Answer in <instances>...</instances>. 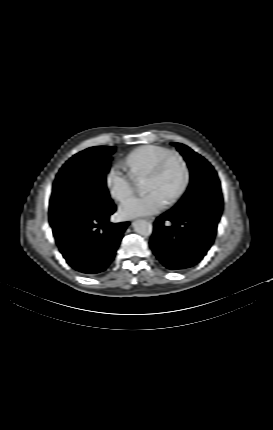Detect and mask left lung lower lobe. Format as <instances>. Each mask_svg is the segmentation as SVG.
Instances as JSON below:
<instances>
[{
	"label": "left lung lower lobe",
	"instance_id": "0a47b994",
	"mask_svg": "<svg viewBox=\"0 0 273 430\" xmlns=\"http://www.w3.org/2000/svg\"><path fill=\"white\" fill-rule=\"evenodd\" d=\"M222 204L220 193L203 191L156 219L150 247L164 266L183 270L202 260L214 241Z\"/></svg>",
	"mask_w": 273,
	"mask_h": 430
}]
</instances>
